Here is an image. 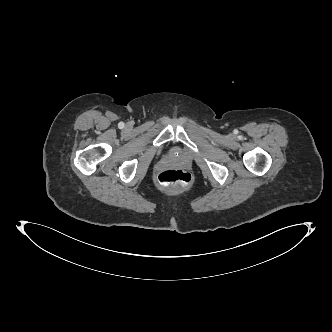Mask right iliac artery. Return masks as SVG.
Here are the masks:
<instances>
[{
  "instance_id": "obj_1",
  "label": "right iliac artery",
  "mask_w": 332,
  "mask_h": 332,
  "mask_svg": "<svg viewBox=\"0 0 332 332\" xmlns=\"http://www.w3.org/2000/svg\"><path fill=\"white\" fill-rule=\"evenodd\" d=\"M119 127H120V128H123V127H124V123H122V122L119 123Z\"/></svg>"
}]
</instances>
